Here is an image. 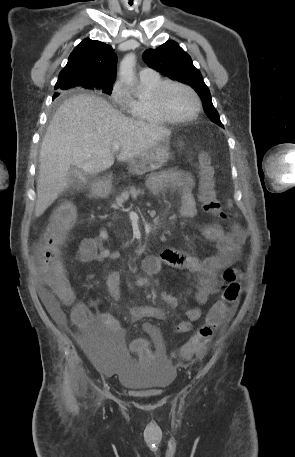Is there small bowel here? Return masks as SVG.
Wrapping results in <instances>:
<instances>
[{
	"label": "small bowel",
	"instance_id": "c3829d8e",
	"mask_svg": "<svg viewBox=\"0 0 295 457\" xmlns=\"http://www.w3.org/2000/svg\"><path fill=\"white\" fill-rule=\"evenodd\" d=\"M148 186L154 193L161 191L176 192L181 197L180 212L185 217H194L197 207L193 196L194 181L192 177L179 170H166L154 176ZM204 236L215 242L217 252L204 259H198L186 252L175 248H166L158 255H151L144 259L143 271L148 275L158 274L164 267L186 271L197 278L195 300L199 305L207 303L210 296L216 294L220 288V272L228 269L239 258L241 248L245 243V233L237 223H232L227 231L218 224H210L203 227ZM109 233L102 228L96 237L82 239L76 257L80 262L88 263L94 260H104L114 256L107 243ZM43 280L47 288H42L40 295L49 313L59 322H64V315L60 309L55 294L48 285L46 276ZM106 286L110 296L120 304L126 313L134 319L153 318L164 320V309L156 305H133L126 304L121 299L120 275L117 270H110L106 276ZM161 300L170 308L178 305L176 296L167 290L161 293ZM186 320L176 326V331L186 333L192 330L193 323L202 316L200 307L186 310ZM73 320L86 338H99L102 334L118 335L122 328L117 319L108 312L92 313L86 304H78L73 311ZM144 331L151 337L154 345H163L159 330L152 323L143 325ZM134 341H147L143 338ZM204 352L196 358H201Z\"/></svg>",
	"mask_w": 295,
	"mask_h": 457
}]
</instances>
